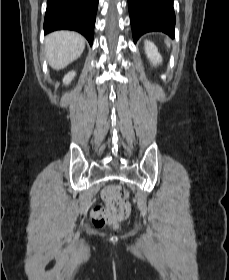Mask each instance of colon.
Masks as SVG:
<instances>
[{"mask_svg": "<svg viewBox=\"0 0 229 280\" xmlns=\"http://www.w3.org/2000/svg\"><path fill=\"white\" fill-rule=\"evenodd\" d=\"M102 197L107 206L94 208L92 213L94 226H118L130 213L127 190L120 184H113L103 190Z\"/></svg>", "mask_w": 229, "mask_h": 280, "instance_id": "5ec220e1", "label": "colon"}]
</instances>
